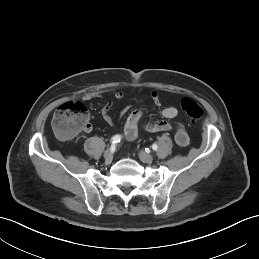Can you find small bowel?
Segmentation results:
<instances>
[{
    "label": "small bowel",
    "mask_w": 259,
    "mask_h": 259,
    "mask_svg": "<svg viewBox=\"0 0 259 259\" xmlns=\"http://www.w3.org/2000/svg\"><path fill=\"white\" fill-rule=\"evenodd\" d=\"M101 95H102V93L99 91L86 92L81 96V99L84 101H89L96 97H100ZM113 96L115 99L120 100L123 98L124 93L122 91H115ZM151 97L155 104H157V105L161 104V96L157 91H152ZM100 113H101L103 120L107 124L112 125L114 123L113 118L110 114V105L109 104H105L101 108ZM159 114L165 120H162V121H159L156 123H150V122L144 123L143 128L146 131L167 132L172 129L171 124L167 120L175 118L178 115V110L173 106H168V107L162 108L159 111ZM142 116H143V111L140 109H135V110L131 111L130 114L128 115L125 125H124V137L128 141H133L138 137L140 120H141ZM91 129H92L91 125L88 124L85 127L84 132L88 133L91 131ZM189 141L190 140H189V136H188L187 132L185 131V129L182 126H179L175 133V142L180 147H186L189 144Z\"/></svg>",
    "instance_id": "c3829d8e"
}]
</instances>
